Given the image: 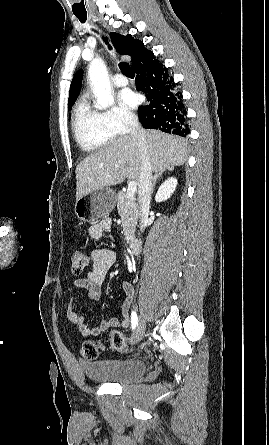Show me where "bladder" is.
<instances>
[{"label": "bladder", "instance_id": "obj_1", "mask_svg": "<svg viewBox=\"0 0 269 445\" xmlns=\"http://www.w3.org/2000/svg\"><path fill=\"white\" fill-rule=\"evenodd\" d=\"M80 368L91 381L119 384L137 381L146 372V364L138 359L81 361Z\"/></svg>", "mask_w": 269, "mask_h": 445}]
</instances>
